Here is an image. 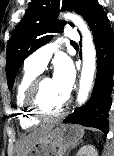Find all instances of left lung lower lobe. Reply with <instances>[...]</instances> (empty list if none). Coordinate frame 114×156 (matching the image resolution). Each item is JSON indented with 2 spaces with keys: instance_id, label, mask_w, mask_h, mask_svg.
Listing matches in <instances>:
<instances>
[{
  "instance_id": "obj_1",
  "label": "left lung lower lobe",
  "mask_w": 114,
  "mask_h": 156,
  "mask_svg": "<svg viewBox=\"0 0 114 156\" xmlns=\"http://www.w3.org/2000/svg\"><path fill=\"white\" fill-rule=\"evenodd\" d=\"M88 24L97 50V74L90 100L83 107L69 115L64 123H76L100 129L108 133V111L111 107V90L114 74V33L107 15L96 2L91 8Z\"/></svg>"
}]
</instances>
